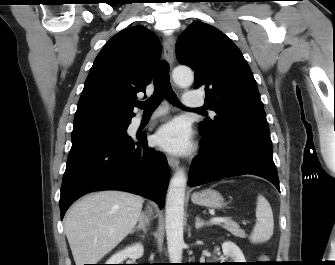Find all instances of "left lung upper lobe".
Instances as JSON below:
<instances>
[{
    "label": "left lung upper lobe",
    "mask_w": 335,
    "mask_h": 265,
    "mask_svg": "<svg viewBox=\"0 0 335 265\" xmlns=\"http://www.w3.org/2000/svg\"><path fill=\"white\" fill-rule=\"evenodd\" d=\"M177 58L195 72V89L204 87L206 103L216 112L199 123L206 135L229 132L271 141L253 73L238 47L217 28L193 22L179 37Z\"/></svg>",
    "instance_id": "left-lung-upper-lobe-1"
}]
</instances>
